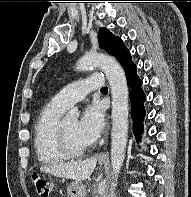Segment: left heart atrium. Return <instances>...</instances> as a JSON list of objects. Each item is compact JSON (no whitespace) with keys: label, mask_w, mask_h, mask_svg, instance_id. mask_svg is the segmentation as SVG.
Returning <instances> with one entry per match:
<instances>
[{"label":"left heart atrium","mask_w":191,"mask_h":197,"mask_svg":"<svg viewBox=\"0 0 191 197\" xmlns=\"http://www.w3.org/2000/svg\"><path fill=\"white\" fill-rule=\"evenodd\" d=\"M104 127V114L100 105L87 106L78 122V136L87 145L95 142Z\"/></svg>","instance_id":"obj_1"}]
</instances>
